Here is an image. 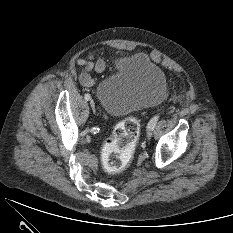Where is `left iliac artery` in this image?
I'll return each mask as SVG.
<instances>
[{"label": "left iliac artery", "instance_id": "44dca946", "mask_svg": "<svg viewBox=\"0 0 233 233\" xmlns=\"http://www.w3.org/2000/svg\"><path fill=\"white\" fill-rule=\"evenodd\" d=\"M158 118H159L158 115L154 116V117L149 121L147 127H148L149 129H154V127H155V125H156V123H157V121H158Z\"/></svg>", "mask_w": 233, "mask_h": 233}]
</instances>
